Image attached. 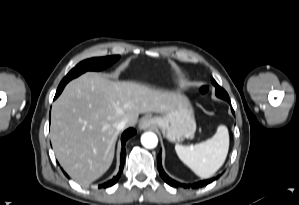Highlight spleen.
<instances>
[{
	"label": "spleen",
	"mask_w": 299,
	"mask_h": 205,
	"mask_svg": "<svg viewBox=\"0 0 299 205\" xmlns=\"http://www.w3.org/2000/svg\"><path fill=\"white\" fill-rule=\"evenodd\" d=\"M229 150V133L225 125L217 128L215 135L194 146L175 145L180 160L196 175L209 178L224 164Z\"/></svg>",
	"instance_id": "1"
}]
</instances>
